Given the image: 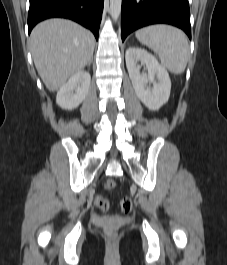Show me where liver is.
Listing matches in <instances>:
<instances>
[{"mask_svg":"<svg viewBox=\"0 0 227 265\" xmlns=\"http://www.w3.org/2000/svg\"><path fill=\"white\" fill-rule=\"evenodd\" d=\"M29 43L37 72L53 92L90 62L95 38L73 21L49 19L32 30Z\"/></svg>","mask_w":227,"mask_h":265,"instance_id":"1","label":"liver"}]
</instances>
